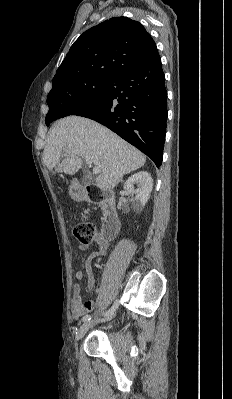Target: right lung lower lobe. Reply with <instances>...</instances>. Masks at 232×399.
<instances>
[{
    "mask_svg": "<svg viewBox=\"0 0 232 399\" xmlns=\"http://www.w3.org/2000/svg\"><path fill=\"white\" fill-rule=\"evenodd\" d=\"M165 75L158 51L110 78L99 98L63 112L95 120L134 145L159 168L167 120Z\"/></svg>",
    "mask_w": 232,
    "mask_h": 399,
    "instance_id": "right-lung-lower-lobe-1",
    "label": "right lung lower lobe"
}]
</instances>
